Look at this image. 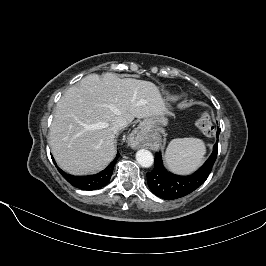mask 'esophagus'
Returning a JSON list of instances; mask_svg holds the SVG:
<instances>
[{
    "instance_id": "1",
    "label": "esophagus",
    "mask_w": 266,
    "mask_h": 266,
    "mask_svg": "<svg viewBox=\"0 0 266 266\" xmlns=\"http://www.w3.org/2000/svg\"><path fill=\"white\" fill-rule=\"evenodd\" d=\"M146 130L143 126L134 129L128 137V143L133 149L138 148L144 143Z\"/></svg>"
}]
</instances>
